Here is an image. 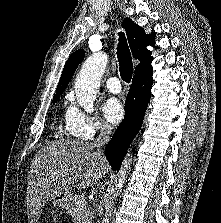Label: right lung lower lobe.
<instances>
[{"label": "right lung lower lobe", "instance_id": "right-lung-lower-lobe-1", "mask_svg": "<svg viewBox=\"0 0 221 223\" xmlns=\"http://www.w3.org/2000/svg\"><path fill=\"white\" fill-rule=\"evenodd\" d=\"M153 71L133 76L125 101V116L112 140L105 148V156L114 170L119 171L131 141L139 132L151 97Z\"/></svg>", "mask_w": 221, "mask_h": 223}]
</instances>
